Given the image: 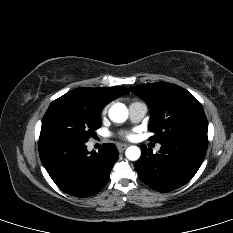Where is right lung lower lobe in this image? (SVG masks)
Listing matches in <instances>:
<instances>
[{
	"label": "right lung lower lobe",
	"mask_w": 233,
	"mask_h": 233,
	"mask_svg": "<svg viewBox=\"0 0 233 233\" xmlns=\"http://www.w3.org/2000/svg\"><path fill=\"white\" fill-rule=\"evenodd\" d=\"M85 143L65 138L39 140L40 159L48 174L62 191L75 197L98 193L119 155L114 144L89 153Z\"/></svg>",
	"instance_id": "1"
}]
</instances>
